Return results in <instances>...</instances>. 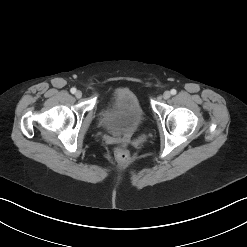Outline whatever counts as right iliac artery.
<instances>
[{
  "label": "right iliac artery",
  "instance_id": "82829eb1",
  "mask_svg": "<svg viewBox=\"0 0 247 247\" xmlns=\"http://www.w3.org/2000/svg\"><path fill=\"white\" fill-rule=\"evenodd\" d=\"M70 92H71L72 94L76 93V88H71Z\"/></svg>",
  "mask_w": 247,
  "mask_h": 247
}]
</instances>
